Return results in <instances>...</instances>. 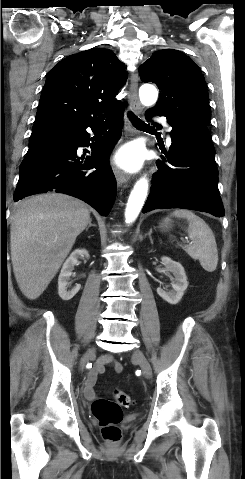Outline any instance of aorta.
<instances>
[{
  "instance_id": "aorta-1",
  "label": "aorta",
  "mask_w": 245,
  "mask_h": 479,
  "mask_svg": "<svg viewBox=\"0 0 245 479\" xmlns=\"http://www.w3.org/2000/svg\"><path fill=\"white\" fill-rule=\"evenodd\" d=\"M140 101L143 105L151 106L156 103L158 91L152 85H143L139 90ZM148 192V180L144 177L136 182L129 196L125 209V221L133 223L138 217Z\"/></svg>"
}]
</instances>
